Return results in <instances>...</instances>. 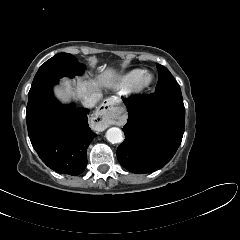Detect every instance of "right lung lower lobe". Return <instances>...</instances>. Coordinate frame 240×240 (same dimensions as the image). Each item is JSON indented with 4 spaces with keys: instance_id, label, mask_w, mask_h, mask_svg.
Wrapping results in <instances>:
<instances>
[{
    "instance_id": "right-lung-lower-lobe-1",
    "label": "right lung lower lobe",
    "mask_w": 240,
    "mask_h": 240,
    "mask_svg": "<svg viewBox=\"0 0 240 240\" xmlns=\"http://www.w3.org/2000/svg\"><path fill=\"white\" fill-rule=\"evenodd\" d=\"M49 81L28 95L26 122L33 148L52 170L77 176L87 165V148L96 134L87 123L86 108L62 105Z\"/></svg>"
}]
</instances>
